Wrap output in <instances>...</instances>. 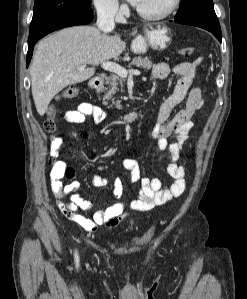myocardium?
<instances>
[{
  "label": "myocardium",
  "instance_id": "1",
  "mask_svg": "<svg viewBox=\"0 0 247 299\" xmlns=\"http://www.w3.org/2000/svg\"><path fill=\"white\" fill-rule=\"evenodd\" d=\"M179 2L180 0H170L168 5L163 10L158 12H145L140 10L139 8H136V12L140 17H142L145 20L157 21L171 15L179 5Z\"/></svg>",
  "mask_w": 247,
  "mask_h": 299
}]
</instances>
